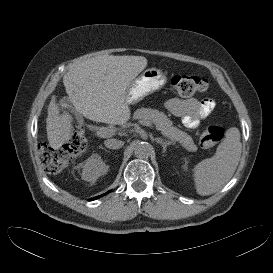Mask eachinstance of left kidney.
I'll return each mask as SVG.
<instances>
[{"label": "left kidney", "mask_w": 273, "mask_h": 273, "mask_svg": "<svg viewBox=\"0 0 273 273\" xmlns=\"http://www.w3.org/2000/svg\"><path fill=\"white\" fill-rule=\"evenodd\" d=\"M187 164H188L187 161H185L184 164H183V168H184L185 170L188 168V165H187Z\"/></svg>", "instance_id": "left-kidney-1"}]
</instances>
